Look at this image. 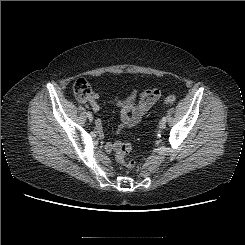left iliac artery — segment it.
I'll use <instances>...</instances> for the list:
<instances>
[{
    "instance_id": "left-iliac-artery-1",
    "label": "left iliac artery",
    "mask_w": 245,
    "mask_h": 245,
    "mask_svg": "<svg viewBox=\"0 0 245 245\" xmlns=\"http://www.w3.org/2000/svg\"><path fill=\"white\" fill-rule=\"evenodd\" d=\"M162 120H163L164 122H166L167 119H166V117H163Z\"/></svg>"
}]
</instances>
